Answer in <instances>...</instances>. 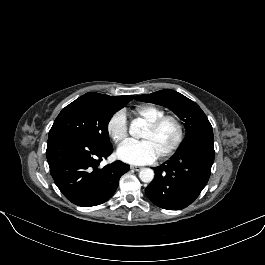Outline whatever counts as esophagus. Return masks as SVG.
<instances>
[{
  "instance_id": "1",
  "label": "esophagus",
  "mask_w": 265,
  "mask_h": 265,
  "mask_svg": "<svg viewBox=\"0 0 265 265\" xmlns=\"http://www.w3.org/2000/svg\"><path fill=\"white\" fill-rule=\"evenodd\" d=\"M141 168H142L141 166L131 165V169H133L135 171H139Z\"/></svg>"
}]
</instances>
